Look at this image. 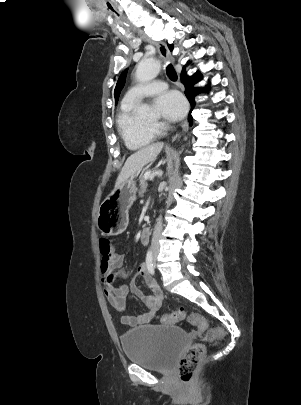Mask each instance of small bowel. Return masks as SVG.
Wrapping results in <instances>:
<instances>
[{"label": "small bowel", "instance_id": "1", "mask_svg": "<svg viewBox=\"0 0 301 405\" xmlns=\"http://www.w3.org/2000/svg\"><path fill=\"white\" fill-rule=\"evenodd\" d=\"M124 258V255L118 253L112 246L111 252L107 256L102 254L100 266L104 294L110 305L119 312L125 311L128 294V287L120 282V280L127 277L126 271L122 269ZM137 275L143 277L151 294H145L136 285L135 277L132 278V292L142 300L147 307V311L138 316L124 314L121 321L130 326L150 323L160 309L164 298L159 285L151 276L145 263L138 267Z\"/></svg>", "mask_w": 301, "mask_h": 405}]
</instances>
